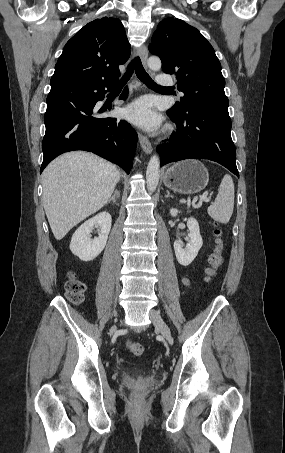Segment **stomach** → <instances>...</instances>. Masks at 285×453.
Wrapping results in <instances>:
<instances>
[{"label":"stomach","instance_id":"stomach-1","mask_svg":"<svg viewBox=\"0 0 285 453\" xmlns=\"http://www.w3.org/2000/svg\"><path fill=\"white\" fill-rule=\"evenodd\" d=\"M209 174L198 160H184L175 163L164 174V184L170 190L180 194H195L208 184Z\"/></svg>","mask_w":285,"mask_h":453}]
</instances>
